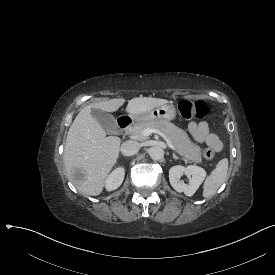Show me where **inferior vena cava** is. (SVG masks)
<instances>
[{
    "instance_id": "602c4592",
    "label": "inferior vena cava",
    "mask_w": 275,
    "mask_h": 275,
    "mask_svg": "<svg viewBox=\"0 0 275 275\" xmlns=\"http://www.w3.org/2000/svg\"><path fill=\"white\" fill-rule=\"evenodd\" d=\"M140 149V143L134 140H128L121 145V152L124 156H132Z\"/></svg>"
}]
</instances>
